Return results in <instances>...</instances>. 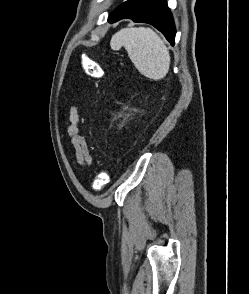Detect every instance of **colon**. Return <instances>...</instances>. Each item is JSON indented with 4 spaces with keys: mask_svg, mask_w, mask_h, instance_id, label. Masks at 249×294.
I'll use <instances>...</instances> for the list:
<instances>
[{
    "mask_svg": "<svg viewBox=\"0 0 249 294\" xmlns=\"http://www.w3.org/2000/svg\"><path fill=\"white\" fill-rule=\"evenodd\" d=\"M80 66L84 72L93 78H102L104 70L102 66L89 58L83 57ZM110 181V173L108 170L100 171L92 181L91 189L95 192L102 190Z\"/></svg>",
    "mask_w": 249,
    "mask_h": 294,
    "instance_id": "1",
    "label": "colon"
}]
</instances>
